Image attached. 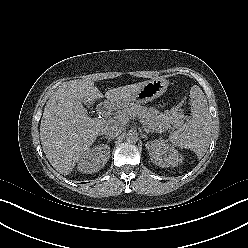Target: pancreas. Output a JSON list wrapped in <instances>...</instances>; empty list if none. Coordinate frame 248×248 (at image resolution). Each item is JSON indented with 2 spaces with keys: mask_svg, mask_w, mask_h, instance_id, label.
Masks as SVG:
<instances>
[{
  "mask_svg": "<svg viewBox=\"0 0 248 248\" xmlns=\"http://www.w3.org/2000/svg\"><path fill=\"white\" fill-rule=\"evenodd\" d=\"M130 116H137L150 131L163 132L168 128H177L183 122L182 115L177 112L160 113L155 108H147L132 104L112 114L110 122L125 125Z\"/></svg>",
  "mask_w": 248,
  "mask_h": 248,
  "instance_id": "cf45deb5",
  "label": "pancreas"
}]
</instances>
